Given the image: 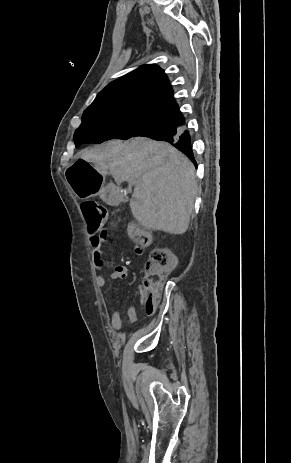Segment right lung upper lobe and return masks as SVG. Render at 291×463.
Masks as SVG:
<instances>
[{"instance_id": "obj_1", "label": "right lung upper lobe", "mask_w": 291, "mask_h": 463, "mask_svg": "<svg viewBox=\"0 0 291 463\" xmlns=\"http://www.w3.org/2000/svg\"><path fill=\"white\" fill-rule=\"evenodd\" d=\"M87 109L141 113L184 124L164 71L144 65L109 83Z\"/></svg>"}]
</instances>
